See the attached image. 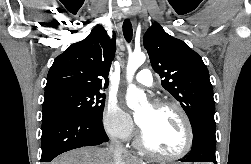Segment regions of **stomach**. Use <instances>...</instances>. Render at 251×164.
<instances>
[{
    "mask_svg": "<svg viewBox=\"0 0 251 164\" xmlns=\"http://www.w3.org/2000/svg\"><path fill=\"white\" fill-rule=\"evenodd\" d=\"M160 164H165V163H160ZM176 164H179V163H176Z\"/></svg>",
    "mask_w": 251,
    "mask_h": 164,
    "instance_id": "obj_1",
    "label": "stomach"
}]
</instances>
